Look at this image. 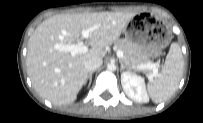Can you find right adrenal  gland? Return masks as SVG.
Masks as SVG:
<instances>
[{
	"mask_svg": "<svg viewBox=\"0 0 203 123\" xmlns=\"http://www.w3.org/2000/svg\"><path fill=\"white\" fill-rule=\"evenodd\" d=\"M94 71L90 72L87 76V79H89V84L88 87H90L91 83H92V75H93Z\"/></svg>",
	"mask_w": 203,
	"mask_h": 123,
	"instance_id": "1",
	"label": "right adrenal gland"
}]
</instances>
